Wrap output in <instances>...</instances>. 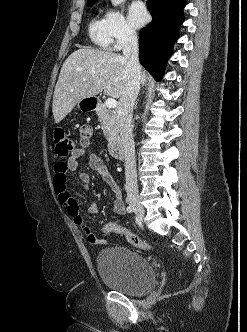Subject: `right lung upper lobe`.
Returning <instances> with one entry per match:
<instances>
[{"instance_id":"cb5924a9","label":"right lung upper lobe","mask_w":247,"mask_h":332,"mask_svg":"<svg viewBox=\"0 0 247 332\" xmlns=\"http://www.w3.org/2000/svg\"><path fill=\"white\" fill-rule=\"evenodd\" d=\"M98 0H87V4H94L96 3Z\"/></svg>"}]
</instances>
